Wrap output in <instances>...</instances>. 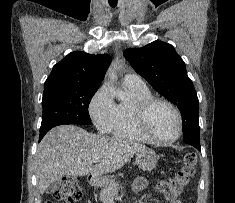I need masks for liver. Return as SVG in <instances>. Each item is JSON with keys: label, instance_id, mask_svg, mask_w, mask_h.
<instances>
[{"label": "liver", "instance_id": "1", "mask_svg": "<svg viewBox=\"0 0 235 203\" xmlns=\"http://www.w3.org/2000/svg\"><path fill=\"white\" fill-rule=\"evenodd\" d=\"M146 146L119 137L87 132L73 125L51 129L38 145L35 172L38 189L43 194L64 176H102L124 166ZM95 158L100 162L95 164ZM95 164V165H94Z\"/></svg>", "mask_w": 235, "mask_h": 203}]
</instances>
